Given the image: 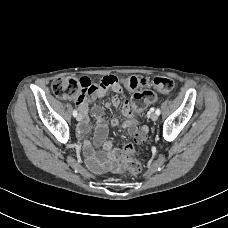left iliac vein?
<instances>
[{
	"label": "left iliac vein",
	"instance_id": "obj_1",
	"mask_svg": "<svg viewBox=\"0 0 228 228\" xmlns=\"http://www.w3.org/2000/svg\"><path fill=\"white\" fill-rule=\"evenodd\" d=\"M157 119H158V115L156 113H152L151 114V120L152 121H157Z\"/></svg>",
	"mask_w": 228,
	"mask_h": 228
}]
</instances>
